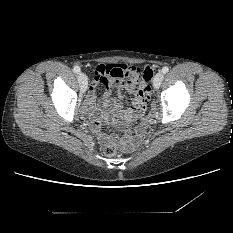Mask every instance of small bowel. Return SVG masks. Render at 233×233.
Returning <instances> with one entry per match:
<instances>
[{
	"label": "small bowel",
	"mask_w": 233,
	"mask_h": 233,
	"mask_svg": "<svg viewBox=\"0 0 233 233\" xmlns=\"http://www.w3.org/2000/svg\"><path fill=\"white\" fill-rule=\"evenodd\" d=\"M127 65L121 63L99 62L94 71L92 85L88 89V96L85 108L93 120L91 121V131L97 138L100 145H107L118 142L129 148L138 145L142 132L146 128L145 108L146 102H137L135 99L131 107L123 108V92L126 89L130 94L135 95L140 89L146 88L148 80L141 78L131 82L124 81L122 74L127 69ZM141 68H134L137 73ZM105 86L100 106L97 105L96 86ZM118 88L117 98L112 97V88ZM106 112L109 114L107 115ZM111 121L116 124H124L129 121H137L139 125L132 129L127 136L117 137L104 132L101 129V121Z\"/></svg>",
	"instance_id": "1"
}]
</instances>
